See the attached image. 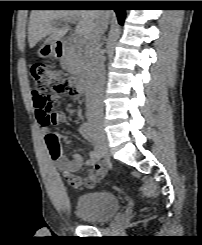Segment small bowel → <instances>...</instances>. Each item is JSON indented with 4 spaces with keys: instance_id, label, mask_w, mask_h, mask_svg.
Listing matches in <instances>:
<instances>
[{
    "instance_id": "small-bowel-1",
    "label": "small bowel",
    "mask_w": 202,
    "mask_h": 245,
    "mask_svg": "<svg viewBox=\"0 0 202 245\" xmlns=\"http://www.w3.org/2000/svg\"><path fill=\"white\" fill-rule=\"evenodd\" d=\"M77 115L79 118L82 117L81 112H78ZM54 116L56 119L55 123H61L66 120L65 114L62 111H55ZM40 125L41 132L44 136V140L48 148L53 140H57L59 144L60 142H64L67 145L71 143V141L66 136L52 132L49 128L51 125H46L41 122ZM80 132L87 141L92 140L82 125L80 126ZM51 159L56 168L61 172L68 185L74 188H92L101 180L105 174V166L104 164L98 162L99 158L96 149H93L89 156L84 158L78 153H73L71 156H68L60 148V153L58 156L51 155ZM83 165L90 167L88 174L84 177L76 176L74 173Z\"/></svg>"
}]
</instances>
